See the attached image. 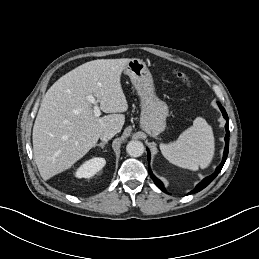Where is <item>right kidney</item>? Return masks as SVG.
<instances>
[{
    "instance_id": "ca27d5eb",
    "label": "right kidney",
    "mask_w": 259,
    "mask_h": 259,
    "mask_svg": "<svg viewBox=\"0 0 259 259\" xmlns=\"http://www.w3.org/2000/svg\"><path fill=\"white\" fill-rule=\"evenodd\" d=\"M106 164L104 158L95 157L82 164L76 171L77 178H91L99 172Z\"/></svg>"
}]
</instances>
